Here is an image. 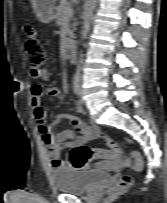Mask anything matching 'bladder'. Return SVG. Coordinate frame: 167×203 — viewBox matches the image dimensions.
<instances>
[{"label":"bladder","instance_id":"bladder-1","mask_svg":"<svg viewBox=\"0 0 167 203\" xmlns=\"http://www.w3.org/2000/svg\"><path fill=\"white\" fill-rule=\"evenodd\" d=\"M110 178L109 173L98 170L60 168L52 173L56 188L73 195L86 193L97 185L109 181Z\"/></svg>","mask_w":167,"mask_h":203}]
</instances>
